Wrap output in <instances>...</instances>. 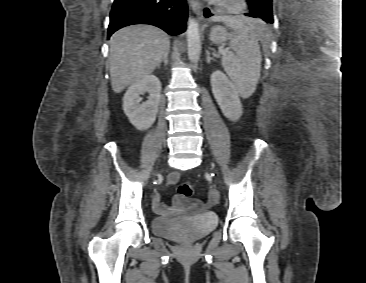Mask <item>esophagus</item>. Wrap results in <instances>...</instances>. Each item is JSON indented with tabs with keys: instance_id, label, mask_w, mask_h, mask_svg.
<instances>
[{
	"instance_id": "34e87169",
	"label": "esophagus",
	"mask_w": 366,
	"mask_h": 283,
	"mask_svg": "<svg viewBox=\"0 0 366 283\" xmlns=\"http://www.w3.org/2000/svg\"><path fill=\"white\" fill-rule=\"evenodd\" d=\"M189 4H190L191 8L193 9V11L197 15H200L201 14L202 4H201L200 1H198V0H189Z\"/></svg>"
}]
</instances>
